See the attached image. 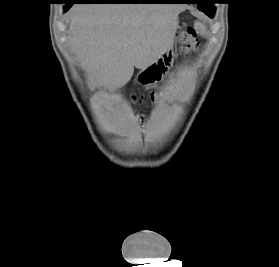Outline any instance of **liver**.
I'll return each instance as SVG.
<instances>
[{"label":"liver","instance_id":"1","mask_svg":"<svg viewBox=\"0 0 279 267\" xmlns=\"http://www.w3.org/2000/svg\"><path fill=\"white\" fill-rule=\"evenodd\" d=\"M183 6L159 3L86 4L71 11L68 41L80 66L107 90L129 82L171 49Z\"/></svg>","mask_w":279,"mask_h":267}]
</instances>
